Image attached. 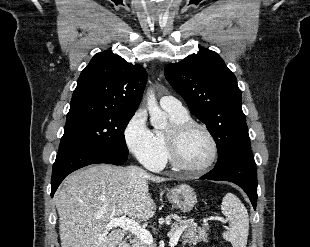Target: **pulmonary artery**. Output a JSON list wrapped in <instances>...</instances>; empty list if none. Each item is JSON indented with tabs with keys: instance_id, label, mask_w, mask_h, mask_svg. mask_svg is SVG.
<instances>
[{
	"instance_id": "pulmonary-artery-1",
	"label": "pulmonary artery",
	"mask_w": 310,
	"mask_h": 247,
	"mask_svg": "<svg viewBox=\"0 0 310 247\" xmlns=\"http://www.w3.org/2000/svg\"><path fill=\"white\" fill-rule=\"evenodd\" d=\"M160 105L165 111L179 115L187 114L186 108L173 96H163L160 99Z\"/></svg>"
}]
</instances>
